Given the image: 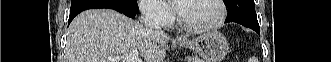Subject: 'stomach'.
<instances>
[{
  "label": "stomach",
  "mask_w": 331,
  "mask_h": 62,
  "mask_svg": "<svg viewBox=\"0 0 331 62\" xmlns=\"http://www.w3.org/2000/svg\"><path fill=\"white\" fill-rule=\"evenodd\" d=\"M178 44L197 52L203 62H222L229 50L225 36L215 31L201 34L193 40L184 39Z\"/></svg>",
  "instance_id": "0dacf381"
}]
</instances>
